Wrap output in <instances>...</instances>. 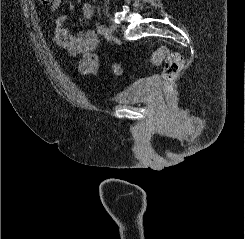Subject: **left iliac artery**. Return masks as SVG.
<instances>
[{
	"label": "left iliac artery",
	"mask_w": 245,
	"mask_h": 239,
	"mask_svg": "<svg viewBox=\"0 0 245 239\" xmlns=\"http://www.w3.org/2000/svg\"><path fill=\"white\" fill-rule=\"evenodd\" d=\"M97 31L99 34H104L105 33V26L103 24H99L97 27Z\"/></svg>",
	"instance_id": "left-iliac-artery-1"
}]
</instances>
